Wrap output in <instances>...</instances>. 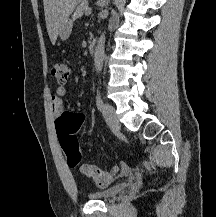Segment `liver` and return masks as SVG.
I'll return each instance as SVG.
<instances>
[{
  "mask_svg": "<svg viewBox=\"0 0 216 217\" xmlns=\"http://www.w3.org/2000/svg\"><path fill=\"white\" fill-rule=\"evenodd\" d=\"M81 0H43L47 31L54 45L63 24Z\"/></svg>",
  "mask_w": 216,
  "mask_h": 217,
  "instance_id": "liver-1",
  "label": "liver"
}]
</instances>
